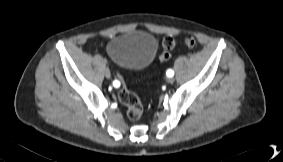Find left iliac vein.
<instances>
[{"label":"left iliac vein","mask_w":283,"mask_h":162,"mask_svg":"<svg viewBox=\"0 0 283 162\" xmlns=\"http://www.w3.org/2000/svg\"><path fill=\"white\" fill-rule=\"evenodd\" d=\"M167 82L172 84L174 82V78L173 77H168L167 78Z\"/></svg>","instance_id":"1"}]
</instances>
